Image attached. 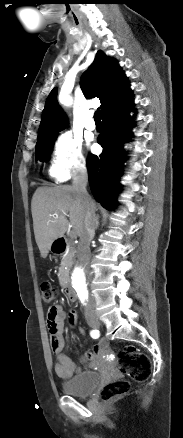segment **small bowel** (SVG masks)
<instances>
[{
    "label": "small bowel",
    "mask_w": 183,
    "mask_h": 438,
    "mask_svg": "<svg viewBox=\"0 0 183 438\" xmlns=\"http://www.w3.org/2000/svg\"><path fill=\"white\" fill-rule=\"evenodd\" d=\"M77 314L75 311H71L69 313V319L71 323H74L76 320ZM66 319V314L60 306H53L48 310L47 313V328L50 334V344L52 351L56 357V363L54 366L55 373L61 379H68L73 376L75 373L79 372L80 369L76 366V364L63 353L64 349V338H63V330L64 323ZM105 344L100 342L95 345L91 349H89L83 360L93 359L99 355L102 349H104Z\"/></svg>",
    "instance_id": "small-bowel-1"
}]
</instances>
